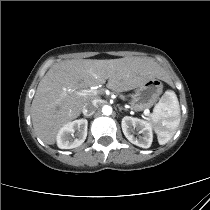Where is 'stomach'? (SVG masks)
Instances as JSON below:
<instances>
[{
  "label": "stomach",
  "instance_id": "stomach-1",
  "mask_svg": "<svg viewBox=\"0 0 210 210\" xmlns=\"http://www.w3.org/2000/svg\"><path fill=\"white\" fill-rule=\"evenodd\" d=\"M162 92V83L158 79L148 80L131 95L130 104L135 111L152 107Z\"/></svg>",
  "mask_w": 210,
  "mask_h": 210
}]
</instances>
